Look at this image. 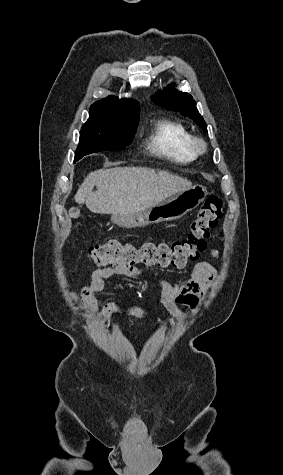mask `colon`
<instances>
[{
	"instance_id": "1",
	"label": "colon",
	"mask_w": 283,
	"mask_h": 475,
	"mask_svg": "<svg viewBox=\"0 0 283 475\" xmlns=\"http://www.w3.org/2000/svg\"><path fill=\"white\" fill-rule=\"evenodd\" d=\"M70 216L77 219L79 211L73 210ZM223 217L222 199L219 196H209L199 208L196 218L190 225L189 234L182 240L167 243H144L139 248L132 243L122 244L111 241L106 244L93 246L88 253V259L99 266L114 264L131 269L137 264L158 267H183L193 262L207 247L206 239L210 229L215 228ZM75 296L74 292L70 293Z\"/></svg>"
}]
</instances>
